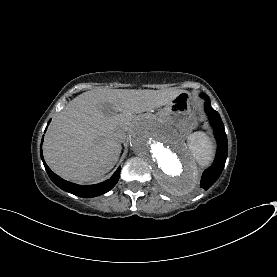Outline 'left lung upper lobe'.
I'll use <instances>...</instances> for the list:
<instances>
[{"mask_svg":"<svg viewBox=\"0 0 277 277\" xmlns=\"http://www.w3.org/2000/svg\"><path fill=\"white\" fill-rule=\"evenodd\" d=\"M201 96H202L205 100L209 101V98H208V96H207V95L202 94Z\"/></svg>","mask_w":277,"mask_h":277,"instance_id":"1","label":"left lung upper lobe"}]
</instances>
